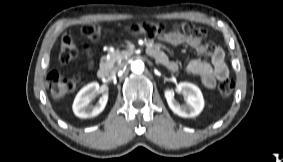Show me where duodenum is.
I'll return each instance as SVG.
<instances>
[{
	"instance_id": "obj_1",
	"label": "duodenum",
	"mask_w": 283,
	"mask_h": 162,
	"mask_svg": "<svg viewBox=\"0 0 283 162\" xmlns=\"http://www.w3.org/2000/svg\"><path fill=\"white\" fill-rule=\"evenodd\" d=\"M148 53L151 55V56H153L154 58H158V57H160L161 56V52L155 47V46H149L148 47ZM98 77L100 78V79H105V78H107L108 77V74H109V72H108V69L107 68H100L99 70H98Z\"/></svg>"
}]
</instances>
